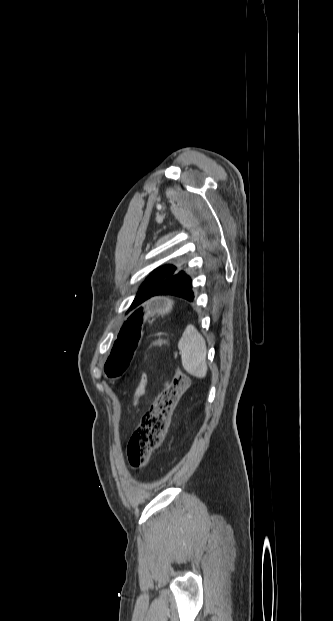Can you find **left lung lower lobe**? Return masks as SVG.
<instances>
[{
	"label": "left lung lower lobe",
	"instance_id": "1",
	"mask_svg": "<svg viewBox=\"0 0 333 621\" xmlns=\"http://www.w3.org/2000/svg\"><path fill=\"white\" fill-rule=\"evenodd\" d=\"M174 295L193 301L194 292L192 290V280L187 274H182L162 286L155 292L154 296Z\"/></svg>",
	"mask_w": 333,
	"mask_h": 621
}]
</instances>
